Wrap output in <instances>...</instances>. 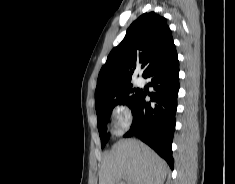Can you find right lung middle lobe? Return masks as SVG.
Returning <instances> with one entry per match:
<instances>
[{
	"instance_id": "dd1d6c3e",
	"label": "right lung middle lobe",
	"mask_w": 235,
	"mask_h": 184,
	"mask_svg": "<svg viewBox=\"0 0 235 184\" xmlns=\"http://www.w3.org/2000/svg\"><path fill=\"white\" fill-rule=\"evenodd\" d=\"M140 90L134 88L132 84L119 86L111 89V103L105 106L96 107L97 126L101 139V147L106 145L109 134L106 133L108 116L117 104H125L128 107L136 100Z\"/></svg>"
}]
</instances>
